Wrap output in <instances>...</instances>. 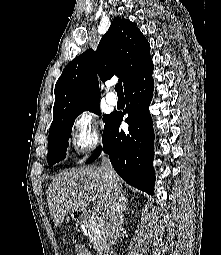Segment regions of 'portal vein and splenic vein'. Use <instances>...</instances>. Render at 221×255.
<instances>
[{"label":"portal vein and splenic vein","instance_id":"1","mask_svg":"<svg viewBox=\"0 0 221 255\" xmlns=\"http://www.w3.org/2000/svg\"><path fill=\"white\" fill-rule=\"evenodd\" d=\"M102 209V205H101V203H97L96 205H95V211H99V210H101Z\"/></svg>","mask_w":221,"mask_h":255}]
</instances>
